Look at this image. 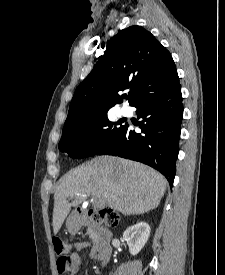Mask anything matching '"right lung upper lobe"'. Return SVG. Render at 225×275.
Here are the masks:
<instances>
[{"label":"right lung upper lobe","mask_w":225,"mask_h":275,"mask_svg":"<svg viewBox=\"0 0 225 275\" xmlns=\"http://www.w3.org/2000/svg\"><path fill=\"white\" fill-rule=\"evenodd\" d=\"M170 52L141 26L121 30L104 55L77 87L64 127L107 112L122 103L120 91L130 89V105L178 81Z\"/></svg>","instance_id":"right-lung-upper-lobe-1"}]
</instances>
